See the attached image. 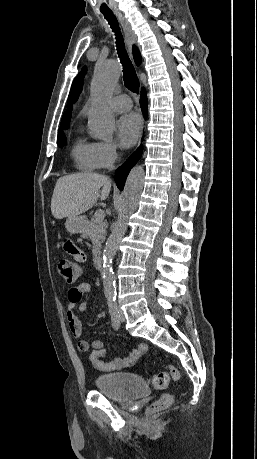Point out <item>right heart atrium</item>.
Masks as SVG:
<instances>
[{
    "label": "right heart atrium",
    "instance_id": "obj_1",
    "mask_svg": "<svg viewBox=\"0 0 257 459\" xmlns=\"http://www.w3.org/2000/svg\"><path fill=\"white\" fill-rule=\"evenodd\" d=\"M94 154L99 168H109L118 159L119 150L114 142L98 141L94 143Z\"/></svg>",
    "mask_w": 257,
    "mask_h": 459
}]
</instances>
